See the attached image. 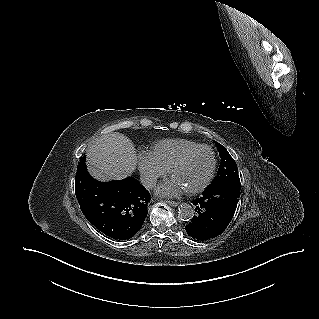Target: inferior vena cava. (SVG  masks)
<instances>
[{"instance_id": "obj_1", "label": "inferior vena cava", "mask_w": 319, "mask_h": 319, "mask_svg": "<svg viewBox=\"0 0 319 319\" xmlns=\"http://www.w3.org/2000/svg\"><path fill=\"white\" fill-rule=\"evenodd\" d=\"M141 184L146 188V189H152L156 186V178L153 176H141L140 178Z\"/></svg>"}]
</instances>
